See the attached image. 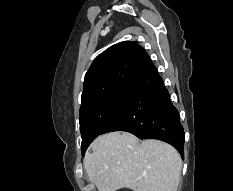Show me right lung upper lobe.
Masks as SVG:
<instances>
[{
  "mask_svg": "<svg viewBox=\"0 0 233 191\" xmlns=\"http://www.w3.org/2000/svg\"><path fill=\"white\" fill-rule=\"evenodd\" d=\"M150 61L137 42H120L106 49L85 75L81 108L111 94L128 91Z\"/></svg>",
  "mask_w": 233,
  "mask_h": 191,
  "instance_id": "obj_1",
  "label": "right lung upper lobe"
}]
</instances>
